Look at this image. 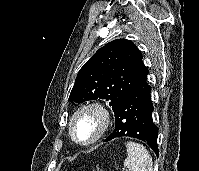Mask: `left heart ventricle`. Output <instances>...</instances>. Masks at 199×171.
I'll return each instance as SVG.
<instances>
[{
    "instance_id": "obj_1",
    "label": "left heart ventricle",
    "mask_w": 199,
    "mask_h": 171,
    "mask_svg": "<svg viewBox=\"0 0 199 171\" xmlns=\"http://www.w3.org/2000/svg\"><path fill=\"white\" fill-rule=\"evenodd\" d=\"M98 119L92 113L81 114L74 123V132L80 141H89L96 134Z\"/></svg>"
}]
</instances>
